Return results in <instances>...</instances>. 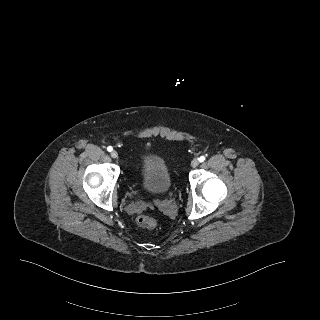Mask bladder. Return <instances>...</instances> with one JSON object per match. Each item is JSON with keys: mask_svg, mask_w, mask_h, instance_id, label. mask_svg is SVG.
Segmentation results:
<instances>
[{"mask_svg": "<svg viewBox=\"0 0 320 320\" xmlns=\"http://www.w3.org/2000/svg\"><path fill=\"white\" fill-rule=\"evenodd\" d=\"M172 177L164 158L144 149L139 155V187L151 195H164L172 188Z\"/></svg>", "mask_w": 320, "mask_h": 320, "instance_id": "bladder-1", "label": "bladder"}]
</instances>
